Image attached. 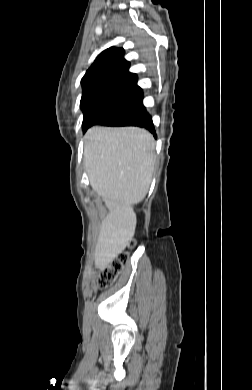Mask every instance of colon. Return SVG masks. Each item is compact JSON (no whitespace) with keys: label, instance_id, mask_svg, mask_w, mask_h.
<instances>
[{"label":"colon","instance_id":"1","mask_svg":"<svg viewBox=\"0 0 252 390\" xmlns=\"http://www.w3.org/2000/svg\"><path fill=\"white\" fill-rule=\"evenodd\" d=\"M132 245L133 243H130V246ZM127 260L128 254L121 253L117 257L112 259L107 265H105L100 271L98 277V285L100 287H106L112 284L124 268L125 264L127 263Z\"/></svg>","mask_w":252,"mask_h":390}]
</instances>
